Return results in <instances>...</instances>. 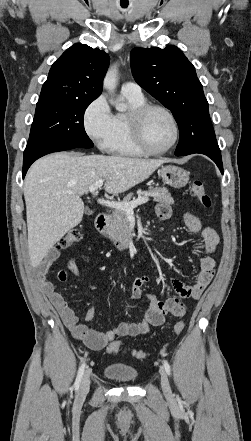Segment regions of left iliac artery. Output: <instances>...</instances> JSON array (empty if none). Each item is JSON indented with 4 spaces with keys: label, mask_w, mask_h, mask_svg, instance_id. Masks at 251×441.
<instances>
[{
    "label": "left iliac artery",
    "mask_w": 251,
    "mask_h": 441,
    "mask_svg": "<svg viewBox=\"0 0 251 441\" xmlns=\"http://www.w3.org/2000/svg\"><path fill=\"white\" fill-rule=\"evenodd\" d=\"M163 365H164V368H165L166 373H167L168 375H170V373H171V368H170V365H169L168 361H167V360H164V361H163Z\"/></svg>",
    "instance_id": "44dca946"
}]
</instances>
